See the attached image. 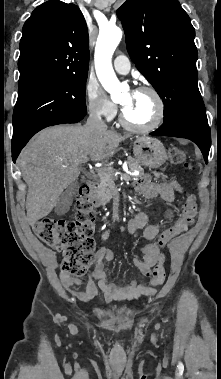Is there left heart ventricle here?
Here are the masks:
<instances>
[{"label": "left heart ventricle", "mask_w": 221, "mask_h": 379, "mask_svg": "<svg viewBox=\"0 0 221 379\" xmlns=\"http://www.w3.org/2000/svg\"><path fill=\"white\" fill-rule=\"evenodd\" d=\"M126 118L137 125L150 123L156 112V105L153 97L148 93L127 92L121 99Z\"/></svg>", "instance_id": "b2bd125f"}]
</instances>
